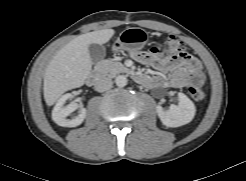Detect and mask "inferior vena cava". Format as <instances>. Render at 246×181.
<instances>
[{
    "label": "inferior vena cava",
    "instance_id": "602c4592",
    "mask_svg": "<svg viewBox=\"0 0 246 181\" xmlns=\"http://www.w3.org/2000/svg\"><path fill=\"white\" fill-rule=\"evenodd\" d=\"M113 82L109 77H101L95 84V89L98 92H104L112 88Z\"/></svg>",
    "mask_w": 246,
    "mask_h": 181
}]
</instances>
